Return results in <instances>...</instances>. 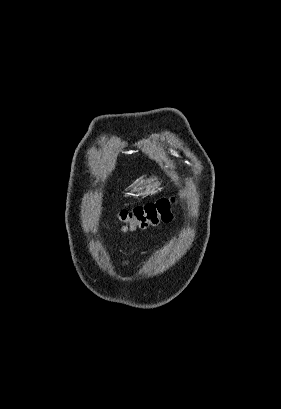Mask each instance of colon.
I'll use <instances>...</instances> for the list:
<instances>
[{
    "label": "colon",
    "instance_id": "5ec220e1",
    "mask_svg": "<svg viewBox=\"0 0 281 409\" xmlns=\"http://www.w3.org/2000/svg\"><path fill=\"white\" fill-rule=\"evenodd\" d=\"M173 202L174 198L165 197L143 205L123 208L118 212V218L126 229H144L170 220Z\"/></svg>",
    "mask_w": 281,
    "mask_h": 409
}]
</instances>
